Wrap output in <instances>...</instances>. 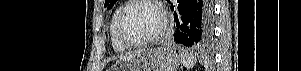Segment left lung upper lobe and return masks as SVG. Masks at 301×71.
<instances>
[{
  "mask_svg": "<svg viewBox=\"0 0 301 71\" xmlns=\"http://www.w3.org/2000/svg\"><path fill=\"white\" fill-rule=\"evenodd\" d=\"M117 0H105L104 7H107V9H111L113 5L116 3Z\"/></svg>",
  "mask_w": 301,
  "mask_h": 71,
  "instance_id": "obj_1",
  "label": "left lung upper lobe"
}]
</instances>
